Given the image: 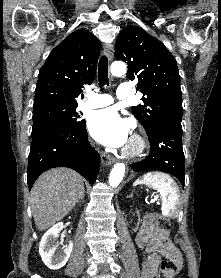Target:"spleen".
<instances>
[{
    "label": "spleen",
    "mask_w": 221,
    "mask_h": 278,
    "mask_svg": "<svg viewBox=\"0 0 221 278\" xmlns=\"http://www.w3.org/2000/svg\"><path fill=\"white\" fill-rule=\"evenodd\" d=\"M145 184L157 190L162 199V215L168 218L177 216V204L180 199L179 188L173 179L161 172H148L134 182V186Z\"/></svg>",
    "instance_id": "3e777b00"
}]
</instances>
